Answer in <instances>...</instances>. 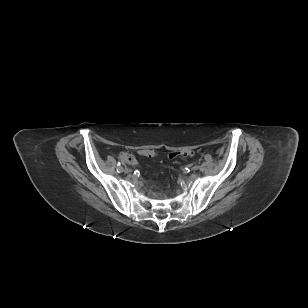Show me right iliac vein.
<instances>
[{
  "mask_svg": "<svg viewBox=\"0 0 308 308\" xmlns=\"http://www.w3.org/2000/svg\"><path fill=\"white\" fill-rule=\"evenodd\" d=\"M123 172H125V173H129V172H130V170H129L128 168H125V169H123Z\"/></svg>",
  "mask_w": 308,
  "mask_h": 308,
  "instance_id": "63e3f726",
  "label": "right iliac vein"
}]
</instances>
